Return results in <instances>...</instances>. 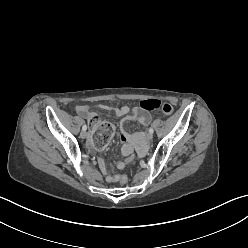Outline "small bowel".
Here are the masks:
<instances>
[{
  "instance_id": "small-bowel-1",
  "label": "small bowel",
  "mask_w": 248,
  "mask_h": 248,
  "mask_svg": "<svg viewBox=\"0 0 248 248\" xmlns=\"http://www.w3.org/2000/svg\"><path fill=\"white\" fill-rule=\"evenodd\" d=\"M96 108L106 111L114 110L117 116L123 117L121 121L120 140L123 142L122 153L124 155H129V153L132 152L134 148L137 149L139 152H142L144 150L145 142H146L145 133L138 132V133L130 134L124 129L123 125L126 120H136L144 126L149 125L151 123L152 118L147 111L142 110L140 107H135L133 109H130L127 106H121L112 109L111 107L105 104H98L96 105ZM76 112L79 115L86 118L95 115L90 112L88 106H78L76 107ZM88 144L91 147H94V140L91 136L88 139ZM100 165L104 171V174L106 175V181L107 182L115 181V178L111 176L110 169L106 166L103 160H100ZM118 167H122V163H118Z\"/></svg>"
}]
</instances>
